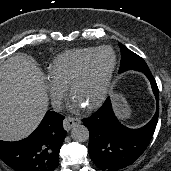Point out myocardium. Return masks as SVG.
<instances>
[{
	"mask_svg": "<svg viewBox=\"0 0 171 171\" xmlns=\"http://www.w3.org/2000/svg\"><path fill=\"white\" fill-rule=\"evenodd\" d=\"M103 50H109L112 53L113 63H112V66H111L109 72L106 75V78L104 81V86H103V89H102L100 96L93 103L86 106V108L88 110H93V109L97 108L98 106H100L108 96V93H109L110 87H111V83H112V79H113V76H114V73H115V70L117 67V55H116V52L113 50V48L110 46H101V47L96 48L93 51V53L83 62V64L76 71V73L72 77V79L69 83V86H68L69 92H70V94H72L74 87L83 78V76L87 72V70H88L92 60L94 59V57L99 52H101Z\"/></svg>",
	"mask_w": 171,
	"mask_h": 171,
	"instance_id": "f54148a6",
	"label": "myocardium"
}]
</instances>
